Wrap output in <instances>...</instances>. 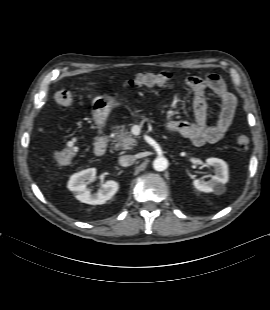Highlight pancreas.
I'll return each instance as SVG.
<instances>
[{
	"label": "pancreas",
	"instance_id": "1",
	"mask_svg": "<svg viewBox=\"0 0 270 310\" xmlns=\"http://www.w3.org/2000/svg\"><path fill=\"white\" fill-rule=\"evenodd\" d=\"M113 148L115 150H129L136 144L132 133L126 129V125H116L113 128Z\"/></svg>",
	"mask_w": 270,
	"mask_h": 310
}]
</instances>
